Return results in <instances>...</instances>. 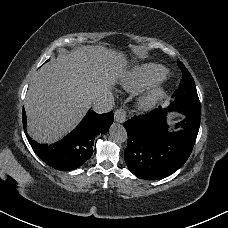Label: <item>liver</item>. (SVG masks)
I'll use <instances>...</instances> for the list:
<instances>
[{"label": "liver", "mask_w": 228, "mask_h": 228, "mask_svg": "<svg viewBox=\"0 0 228 228\" xmlns=\"http://www.w3.org/2000/svg\"><path fill=\"white\" fill-rule=\"evenodd\" d=\"M122 52L102 45L63 49L30 83L24 108L27 132L38 143H54L73 130L91 107V94L109 92L127 73Z\"/></svg>", "instance_id": "1"}]
</instances>
